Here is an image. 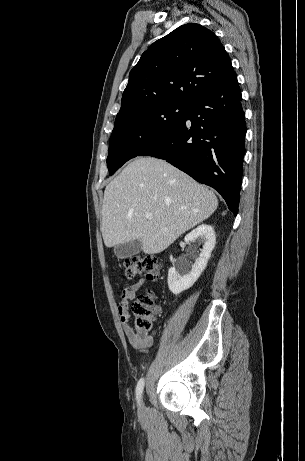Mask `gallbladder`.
<instances>
[{"label":"gallbladder","instance_id":"1","mask_svg":"<svg viewBox=\"0 0 305 461\" xmlns=\"http://www.w3.org/2000/svg\"><path fill=\"white\" fill-rule=\"evenodd\" d=\"M142 249L140 239L120 244L114 248V254L118 259H124L138 254Z\"/></svg>","mask_w":305,"mask_h":461}]
</instances>
